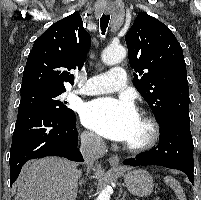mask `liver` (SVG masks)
<instances>
[{"instance_id": "liver-1", "label": "liver", "mask_w": 201, "mask_h": 200, "mask_svg": "<svg viewBox=\"0 0 201 200\" xmlns=\"http://www.w3.org/2000/svg\"><path fill=\"white\" fill-rule=\"evenodd\" d=\"M80 177L76 164L45 157L26 163L18 179L15 200H75Z\"/></svg>"}]
</instances>
